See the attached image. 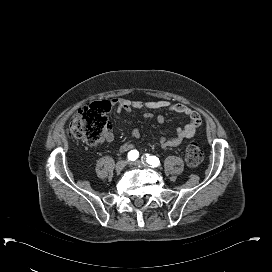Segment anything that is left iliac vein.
I'll use <instances>...</instances> for the list:
<instances>
[{
  "instance_id": "obj_1",
  "label": "left iliac vein",
  "mask_w": 272,
  "mask_h": 272,
  "mask_svg": "<svg viewBox=\"0 0 272 272\" xmlns=\"http://www.w3.org/2000/svg\"><path fill=\"white\" fill-rule=\"evenodd\" d=\"M131 164L135 165V166H143V167H146L148 166V164L142 160H137V161H134L132 162Z\"/></svg>"
}]
</instances>
